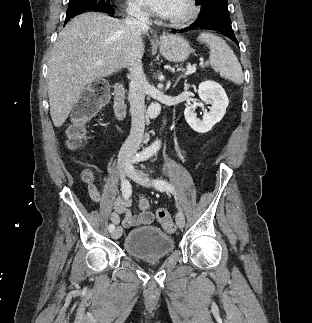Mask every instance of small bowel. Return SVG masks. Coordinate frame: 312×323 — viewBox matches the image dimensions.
Here are the masks:
<instances>
[{"mask_svg":"<svg viewBox=\"0 0 312 323\" xmlns=\"http://www.w3.org/2000/svg\"><path fill=\"white\" fill-rule=\"evenodd\" d=\"M82 181L87 185L88 193L92 201L98 202L101 199V193L95 183L94 173L85 168L81 172ZM130 201L118 199L114 202L113 210L109 213V218L114 224L122 222L126 228L149 225L154 222V215L150 211L140 214H134L130 210ZM121 216L123 219L121 220Z\"/></svg>","mask_w":312,"mask_h":323,"instance_id":"small-bowel-1","label":"small bowel"}]
</instances>
